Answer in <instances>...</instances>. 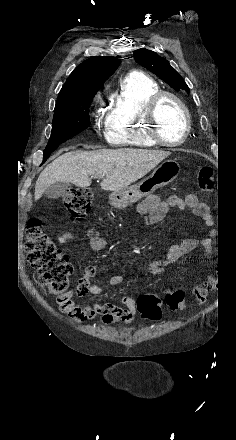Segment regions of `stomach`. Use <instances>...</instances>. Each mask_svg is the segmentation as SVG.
I'll list each match as a JSON object with an SVG mask.
<instances>
[{
  "instance_id": "0dacf381",
  "label": "stomach",
  "mask_w": 236,
  "mask_h": 440,
  "mask_svg": "<svg viewBox=\"0 0 236 440\" xmlns=\"http://www.w3.org/2000/svg\"><path fill=\"white\" fill-rule=\"evenodd\" d=\"M180 173V165L175 160L162 162L154 171L138 184L114 191L109 199L113 207L124 209L151 195L156 189L171 183Z\"/></svg>"
}]
</instances>
